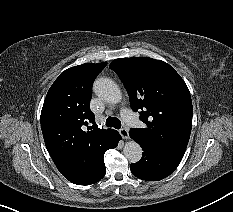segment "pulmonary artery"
Masks as SVG:
<instances>
[{
  "instance_id": "e3ab8cb5",
  "label": "pulmonary artery",
  "mask_w": 233,
  "mask_h": 212,
  "mask_svg": "<svg viewBox=\"0 0 233 212\" xmlns=\"http://www.w3.org/2000/svg\"><path fill=\"white\" fill-rule=\"evenodd\" d=\"M126 120H127L128 122H131V121H132L131 117H129L128 115L126 116Z\"/></svg>"
}]
</instances>
